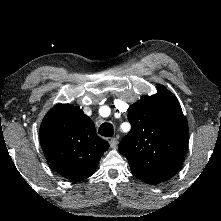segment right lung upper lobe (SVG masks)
Listing matches in <instances>:
<instances>
[{
	"label": "right lung upper lobe",
	"mask_w": 221,
	"mask_h": 221,
	"mask_svg": "<svg viewBox=\"0 0 221 221\" xmlns=\"http://www.w3.org/2000/svg\"><path fill=\"white\" fill-rule=\"evenodd\" d=\"M39 134L52 168L72 181L90 177L109 148L108 142L97 136L93 121L71 104H59L50 110Z\"/></svg>",
	"instance_id": "cb5924a9"
}]
</instances>
